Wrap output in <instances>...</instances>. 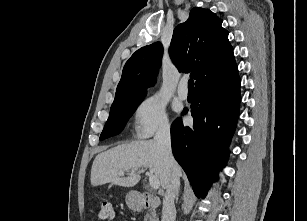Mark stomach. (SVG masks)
I'll return each mask as SVG.
<instances>
[{
    "label": "stomach",
    "mask_w": 307,
    "mask_h": 221,
    "mask_svg": "<svg viewBox=\"0 0 307 221\" xmlns=\"http://www.w3.org/2000/svg\"><path fill=\"white\" fill-rule=\"evenodd\" d=\"M126 202H127L128 206L131 207V208H134V207H137V206H138V203L135 202V201H133V200L131 199L130 195H128V196L126 197Z\"/></svg>",
    "instance_id": "stomach-1"
}]
</instances>
